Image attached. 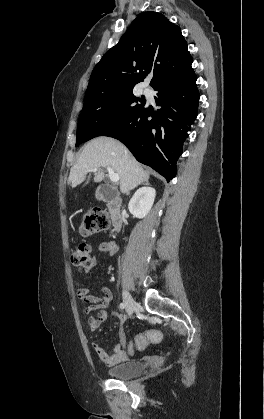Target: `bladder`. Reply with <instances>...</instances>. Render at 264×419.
I'll list each match as a JSON object with an SVG mask.
<instances>
[{
    "label": "bladder",
    "instance_id": "obj_1",
    "mask_svg": "<svg viewBox=\"0 0 264 419\" xmlns=\"http://www.w3.org/2000/svg\"><path fill=\"white\" fill-rule=\"evenodd\" d=\"M146 365L138 360H129L107 370V375L114 379H130L141 375Z\"/></svg>",
    "mask_w": 264,
    "mask_h": 419
}]
</instances>
